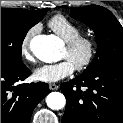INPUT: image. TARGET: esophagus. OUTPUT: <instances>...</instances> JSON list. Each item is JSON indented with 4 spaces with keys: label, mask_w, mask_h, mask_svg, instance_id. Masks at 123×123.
<instances>
[{
    "label": "esophagus",
    "mask_w": 123,
    "mask_h": 123,
    "mask_svg": "<svg viewBox=\"0 0 123 123\" xmlns=\"http://www.w3.org/2000/svg\"><path fill=\"white\" fill-rule=\"evenodd\" d=\"M49 88H50V90H57L59 88V86L57 84L51 83V84H49Z\"/></svg>",
    "instance_id": "1"
}]
</instances>
